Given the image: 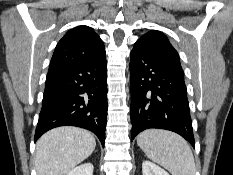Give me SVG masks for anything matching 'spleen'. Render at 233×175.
Wrapping results in <instances>:
<instances>
[{
    "label": "spleen",
    "instance_id": "1",
    "mask_svg": "<svg viewBox=\"0 0 233 175\" xmlns=\"http://www.w3.org/2000/svg\"><path fill=\"white\" fill-rule=\"evenodd\" d=\"M137 144L149 159L172 175H195V162L189 144L170 131L148 129L137 137Z\"/></svg>",
    "mask_w": 233,
    "mask_h": 175
}]
</instances>
